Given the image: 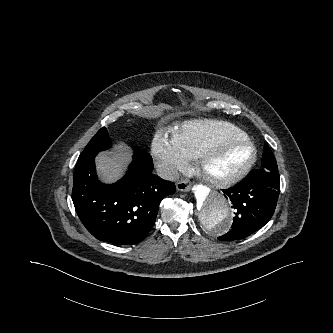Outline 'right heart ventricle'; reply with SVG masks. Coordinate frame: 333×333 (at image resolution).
<instances>
[{
    "mask_svg": "<svg viewBox=\"0 0 333 333\" xmlns=\"http://www.w3.org/2000/svg\"><path fill=\"white\" fill-rule=\"evenodd\" d=\"M224 135L248 137L239 127L212 119L186 122L172 131V139L188 160H194L209 142Z\"/></svg>",
    "mask_w": 333,
    "mask_h": 333,
    "instance_id": "e07e8e85",
    "label": "right heart ventricle"
}]
</instances>
